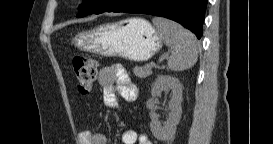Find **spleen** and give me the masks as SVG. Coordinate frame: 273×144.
I'll use <instances>...</instances> for the list:
<instances>
[{
  "mask_svg": "<svg viewBox=\"0 0 273 144\" xmlns=\"http://www.w3.org/2000/svg\"><path fill=\"white\" fill-rule=\"evenodd\" d=\"M152 21L161 39L171 50L168 68L172 71H183L193 67L198 59L197 40L193 33L162 17H155Z\"/></svg>",
  "mask_w": 273,
  "mask_h": 144,
  "instance_id": "obj_1",
  "label": "spleen"
}]
</instances>
